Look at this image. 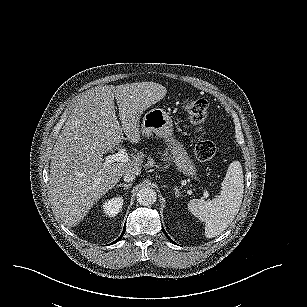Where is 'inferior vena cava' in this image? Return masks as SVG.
Returning a JSON list of instances; mask_svg holds the SVG:
<instances>
[{
	"instance_id": "obj_1",
	"label": "inferior vena cava",
	"mask_w": 307,
	"mask_h": 307,
	"mask_svg": "<svg viewBox=\"0 0 307 307\" xmlns=\"http://www.w3.org/2000/svg\"><path fill=\"white\" fill-rule=\"evenodd\" d=\"M135 178H136V175L130 171L125 172L123 175V179L125 182H132L135 180Z\"/></svg>"
}]
</instances>
